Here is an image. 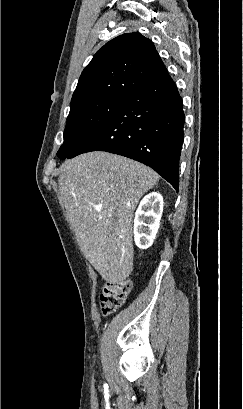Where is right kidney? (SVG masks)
Masks as SVG:
<instances>
[{"label": "right kidney", "mask_w": 243, "mask_h": 409, "mask_svg": "<svg viewBox=\"0 0 243 409\" xmlns=\"http://www.w3.org/2000/svg\"><path fill=\"white\" fill-rule=\"evenodd\" d=\"M162 212L161 194L152 192L141 200L134 218V241L140 249H147L152 245L159 229Z\"/></svg>", "instance_id": "ca27d5eb"}]
</instances>
